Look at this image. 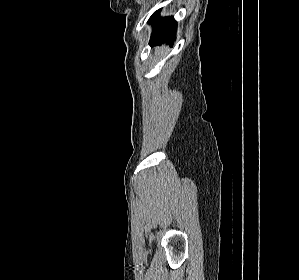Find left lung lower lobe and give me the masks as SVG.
<instances>
[{"mask_svg":"<svg viewBox=\"0 0 299 280\" xmlns=\"http://www.w3.org/2000/svg\"><path fill=\"white\" fill-rule=\"evenodd\" d=\"M159 11H156L149 19V23H153L154 29L149 44L160 45L162 42L170 44L175 39L177 23L173 17L160 18Z\"/></svg>","mask_w":299,"mask_h":280,"instance_id":"obj_1","label":"left lung lower lobe"}]
</instances>
